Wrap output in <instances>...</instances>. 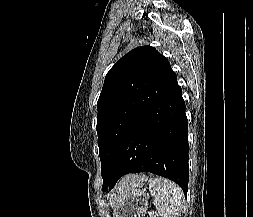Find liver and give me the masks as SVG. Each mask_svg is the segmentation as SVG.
I'll use <instances>...</instances> for the list:
<instances>
[{
	"label": "liver",
	"mask_w": 253,
	"mask_h": 217,
	"mask_svg": "<svg viewBox=\"0 0 253 217\" xmlns=\"http://www.w3.org/2000/svg\"><path fill=\"white\" fill-rule=\"evenodd\" d=\"M146 180L147 177L142 174H131L123 177L117 185L116 194H114L113 200L127 196L134 188L143 186Z\"/></svg>",
	"instance_id": "6515ba94"
}]
</instances>
